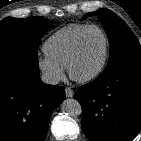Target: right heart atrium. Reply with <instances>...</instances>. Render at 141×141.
Returning a JSON list of instances; mask_svg holds the SVG:
<instances>
[{
	"label": "right heart atrium",
	"instance_id": "right-heart-atrium-1",
	"mask_svg": "<svg viewBox=\"0 0 141 141\" xmlns=\"http://www.w3.org/2000/svg\"><path fill=\"white\" fill-rule=\"evenodd\" d=\"M38 68L48 83L55 84L64 78V67L46 55L38 59Z\"/></svg>",
	"mask_w": 141,
	"mask_h": 141
}]
</instances>
